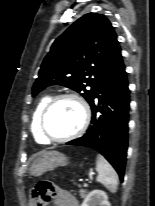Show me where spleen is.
<instances>
[{
  "label": "spleen",
  "mask_w": 155,
  "mask_h": 206,
  "mask_svg": "<svg viewBox=\"0 0 155 206\" xmlns=\"http://www.w3.org/2000/svg\"><path fill=\"white\" fill-rule=\"evenodd\" d=\"M96 170L98 172L96 181L103 184L109 191L116 192L118 187L117 173L102 155H97Z\"/></svg>",
  "instance_id": "spleen-1"
}]
</instances>
